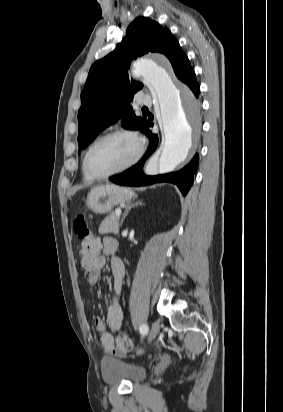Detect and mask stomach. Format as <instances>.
<instances>
[{"instance_id": "obj_1", "label": "stomach", "mask_w": 283, "mask_h": 412, "mask_svg": "<svg viewBox=\"0 0 283 412\" xmlns=\"http://www.w3.org/2000/svg\"><path fill=\"white\" fill-rule=\"evenodd\" d=\"M133 197L129 188L117 185H100L93 188L87 196V207L98 214L110 212L116 205L127 203Z\"/></svg>"}]
</instances>
